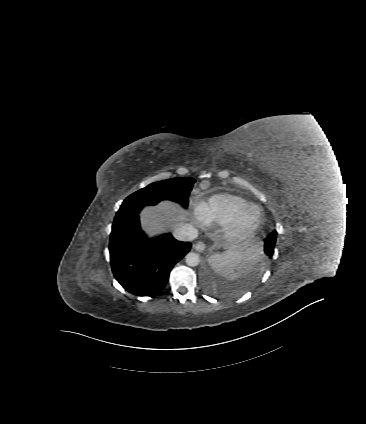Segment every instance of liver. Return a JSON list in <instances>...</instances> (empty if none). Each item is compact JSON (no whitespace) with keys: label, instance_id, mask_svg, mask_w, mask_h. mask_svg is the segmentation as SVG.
Returning a JSON list of instances; mask_svg holds the SVG:
<instances>
[{"label":"liver","instance_id":"obj_1","mask_svg":"<svg viewBox=\"0 0 366 424\" xmlns=\"http://www.w3.org/2000/svg\"><path fill=\"white\" fill-rule=\"evenodd\" d=\"M140 218L149 236H155L166 229L174 231L188 220L187 214L177 204L170 201L146 208Z\"/></svg>","mask_w":366,"mask_h":424}]
</instances>
